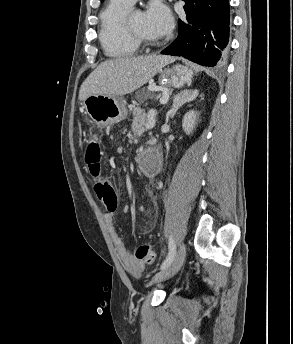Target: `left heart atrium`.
Instances as JSON below:
<instances>
[{
    "mask_svg": "<svg viewBox=\"0 0 293 344\" xmlns=\"http://www.w3.org/2000/svg\"><path fill=\"white\" fill-rule=\"evenodd\" d=\"M146 30L160 38L168 35L173 28V17L170 10L160 2L152 3L144 13Z\"/></svg>",
    "mask_w": 293,
    "mask_h": 344,
    "instance_id": "39dd6f15",
    "label": "left heart atrium"
}]
</instances>
